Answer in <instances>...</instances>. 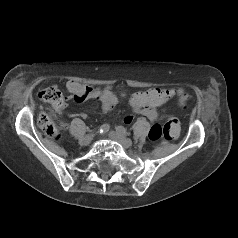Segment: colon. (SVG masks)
<instances>
[{
  "instance_id": "obj_1",
  "label": "colon",
  "mask_w": 238,
  "mask_h": 238,
  "mask_svg": "<svg viewBox=\"0 0 238 238\" xmlns=\"http://www.w3.org/2000/svg\"><path fill=\"white\" fill-rule=\"evenodd\" d=\"M178 94L180 96L181 103H184L186 100L185 94L182 91H178ZM38 96L42 101L50 104L54 108L60 107L64 103V95L62 91L55 85L41 89L38 93ZM39 125L46 135L56 139L60 138V131L46 114H41L39 116ZM179 131L180 126L178 120L175 118H170L163 126L153 125L149 131V139L156 141L163 137L167 140H172L179 135Z\"/></svg>"
}]
</instances>
